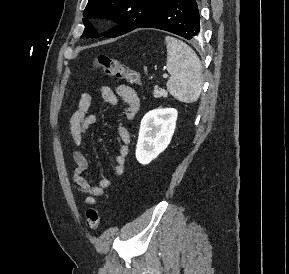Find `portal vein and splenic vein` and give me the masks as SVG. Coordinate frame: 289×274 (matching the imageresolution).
Masks as SVG:
<instances>
[{
	"mask_svg": "<svg viewBox=\"0 0 289 274\" xmlns=\"http://www.w3.org/2000/svg\"><path fill=\"white\" fill-rule=\"evenodd\" d=\"M168 75L166 73L163 74V78H167Z\"/></svg>",
	"mask_w": 289,
	"mask_h": 274,
	"instance_id": "1",
	"label": "portal vein and splenic vein"
}]
</instances>
